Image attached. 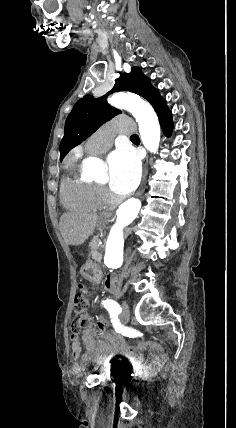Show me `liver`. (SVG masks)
<instances>
[{"instance_id": "obj_1", "label": "liver", "mask_w": 236, "mask_h": 428, "mask_svg": "<svg viewBox=\"0 0 236 428\" xmlns=\"http://www.w3.org/2000/svg\"><path fill=\"white\" fill-rule=\"evenodd\" d=\"M97 214H63L60 218V232L68 246H80L88 240L97 226Z\"/></svg>"}]
</instances>
